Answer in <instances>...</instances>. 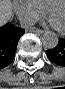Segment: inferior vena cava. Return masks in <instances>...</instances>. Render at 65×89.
<instances>
[{
  "instance_id": "inferior-vena-cava-1",
  "label": "inferior vena cava",
  "mask_w": 65,
  "mask_h": 89,
  "mask_svg": "<svg viewBox=\"0 0 65 89\" xmlns=\"http://www.w3.org/2000/svg\"><path fill=\"white\" fill-rule=\"evenodd\" d=\"M35 23L34 19L30 18H24L23 20L20 21L21 27L22 28H27Z\"/></svg>"
}]
</instances>
